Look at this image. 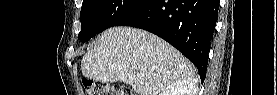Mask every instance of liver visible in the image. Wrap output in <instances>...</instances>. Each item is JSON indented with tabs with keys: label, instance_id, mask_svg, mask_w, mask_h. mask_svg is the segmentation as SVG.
I'll return each mask as SVG.
<instances>
[{
	"label": "liver",
	"instance_id": "6515ba94",
	"mask_svg": "<svg viewBox=\"0 0 277 95\" xmlns=\"http://www.w3.org/2000/svg\"><path fill=\"white\" fill-rule=\"evenodd\" d=\"M81 69L87 79L122 81L138 95H158L178 81L191 83L194 93L198 91L194 65L166 41L137 28L104 31L83 56Z\"/></svg>",
	"mask_w": 277,
	"mask_h": 95
}]
</instances>
